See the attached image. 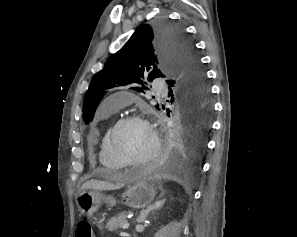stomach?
<instances>
[{"label": "stomach", "mask_w": 297, "mask_h": 237, "mask_svg": "<svg viewBox=\"0 0 297 237\" xmlns=\"http://www.w3.org/2000/svg\"><path fill=\"white\" fill-rule=\"evenodd\" d=\"M157 194L154 184L141 180L132 184L123 194L124 204L131 208H144L152 203ZM77 205L82 214L91 216L102 202L115 205L112 196H105L97 190H84L77 197Z\"/></svg>", "instance_id": "stomach-1"}]
</instances>
